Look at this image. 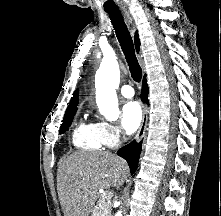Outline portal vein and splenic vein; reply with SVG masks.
<instances>
[{
  "mask_svg": "<svg viewBox=\"0 0 221 216\" xmlns=\"http://www.w3.org/2000/svg\"><path fill=\"white\" fill-rule=\"evenodd\" d=\"M103 197L106 198V199L111 198L112 197V192L111 191L104 192Z\"/></svg>",
  "mask_w": 221,
  "mask_h": 216,
  "instance_id": "obj_1",
  "label": "portal vein and splenic vein"
}]
</instances>
